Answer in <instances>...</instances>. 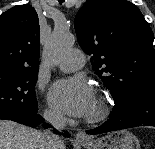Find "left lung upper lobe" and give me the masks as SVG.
<instances>
[{
  "label": "left lung upper lobe",
  "instance_id": "obj_1",
  "mask_svg": "<svg viewBox=\"0 0 155 149\" xmlns=\"http://www.w3.org/2000/svg\"><path fill=\"white\" fill-rule=\"evenodd\" d=\"M82 49L115 100L155 85L154 35L137 6L125 0H87L75 17Z\"/></svg>",
  "mask_w": 155,
  "mask_h": 149
}]
</instances>
